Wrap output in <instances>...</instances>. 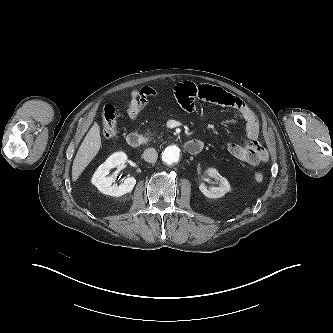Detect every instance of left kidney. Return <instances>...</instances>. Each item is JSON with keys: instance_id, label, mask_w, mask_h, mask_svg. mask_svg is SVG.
I'll list each match as a JSON object with an SVG mask.
<instances>
[{"instance_id": "obj_1", "label": "left kidney", "mask_w": 333, "mask_h": 333, "mask_svg": "<svg viewBox=\"0 0 333 333\" xmlns=\"http://www.w3.org/2000/svg\"><path fill=\"white\" fill-rule=\"evenodd\" d=\"M206 173L210 177L218 179L220 181V185L218 187H211L207 189L205 184L201 183L199 189L204 196L208 198H220L230 191V184L228 180L225 177L221 176L215 168H209Z\"/></svg>"}]
</instances>
